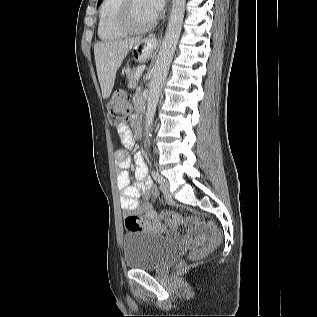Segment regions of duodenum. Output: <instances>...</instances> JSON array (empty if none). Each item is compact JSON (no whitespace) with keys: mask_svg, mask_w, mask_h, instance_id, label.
<instances>
[{"mask_svg":"<svg viewBox=\"0 0 317 317\" xmlns=\"http://www.w3.org/2000/svg\"><path fill=\"white\" fill-rule=\"evenodd\" d=\"M135 130L138 137L142 136L143 128L140 122L135 123Z\"/></svg>","mask_w":317,"mask_h":317,"instance_id":"1","label":"duodenum"}]
</instances>
